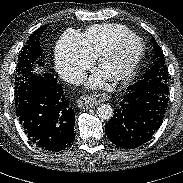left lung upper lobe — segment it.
<instances>
[{
	"label": "left lung upper lobe",
	"instance_id": "5c2ea615",
	"mask_svg": "<svg viewBox=\"0 0 183 183\" xmlns=\"http://www.w3.org/2000/svg\"><path fill=\"white\" fill-rule=\"evenodd\" d=\"M153 43L155 46L157 61L154 66L147 73H145L138 82L131 85V88L160 95H168V70L164 61V55L161 48L154 39Z\"/></svg>",
	"mask_w": 183,
	"mask_h": 183
}]
</instances>
